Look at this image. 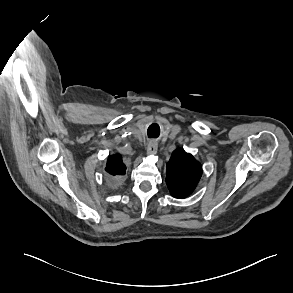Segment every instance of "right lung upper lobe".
<instances>
[{"instance_id":"right-lung-upper-lobe-1","label":"right lung upper lobe","mask_w":293,"mask_h":293,"mask_svg":"<svg viewBox=\"0 0 293 293\" xmlns=\"http://www.w3.org/2000/svg\"><path fill=\"white\" fill-rule=\"evenodd\" d=\"M105 170L112 177L119 178L122 175H125L126 166L123 163L121 156L112 155V156H109L107 160V165Z\"/></svg>"}]
</instances>
